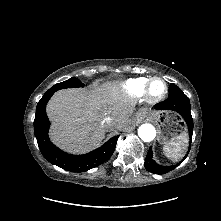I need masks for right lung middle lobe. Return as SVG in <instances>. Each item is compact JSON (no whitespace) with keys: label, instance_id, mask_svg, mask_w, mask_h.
<instances>
[{"label":"right lung middle lobe","instance_id":"right-lung-middle-lobe-1","mask_svg":"<svg viewBox=\"0 0 221 221\" xmlns=\"http://www.w3.org/2000/svg\"><path fill=\"white\" fill-rule=\"evenodd\" d=\"M83 86L84 84L80 80L76 78H70L64 82L55 84L47 92H55L57 90L64 89V88H72V87L77 88V87H83Z\"/></svg>","mask_w":221,"mask_h":221}]
</instances>
